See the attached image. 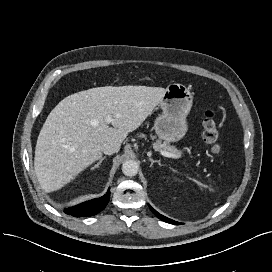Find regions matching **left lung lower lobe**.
I'll return each instance as SVG.
<instances>
[{"instance_id": "0a47b994", "label": "left lung lower lobe", "mask_w": 272, "mask_h": 272, "mask_svg": "<svg viewBox=\"0 0 272 272\" xmlns=\"http://www.w3.org/2000/svg\"><path fill=\"white\" fill-rule=\"evenodd\" d=\"M149 207H150L151 211H152L159 219H161L162 221H165V222L170 223V224H175V225H179V224H180L179 222H176V221H174V220H171V219H169V218H167V217H165V216L159 214V213H158L156 210H154L150 205H149Z\"/></svg>"}]
</instances>
